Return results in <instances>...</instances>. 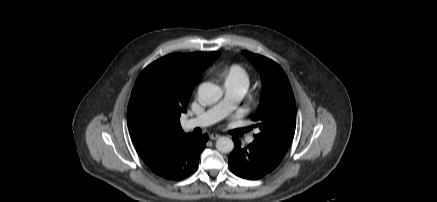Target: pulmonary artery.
<instances>
[{
    "label": "pulmonary artery",
    "instance_id": "1",
    "mask_svg": "<svg viewBox=\"0 0 437 202\" xmlns=\"http://www.w3.org/2000/svg\"><path fill=\"white\" fill-rule=\"evenodd\" d=\"M247 90V85L238 82H225L224 98L215 106L195 118L186 121L188 128L205 127L212 125L227 116L235 109ZM253 137L249 136L247 142L251 143Z\"/></svg>",
    "mask_w": 437,
    "mask_h": 202
}]
</instances>
